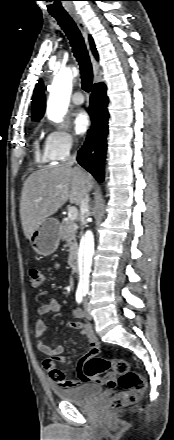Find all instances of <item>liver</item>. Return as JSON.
<instances>
[{
  "label": "liver",
  "mask_w": 174,
  "mask_h": 440,
  "mask_svg": "<svg viewBox=\"0 0 174 440\" xmlns=\"http://www.w3.org/2000/svg\"><path fill=\"white\" fill-rule=\"evenodd\" d=\"M93 187L92 176L80 167L61 165L32 173L24 182L20 218L27 239L68 200L80 205Z\"/></svg>",
  "instance_id": "obj_1"
}]
</instances>
